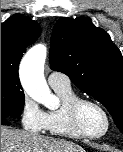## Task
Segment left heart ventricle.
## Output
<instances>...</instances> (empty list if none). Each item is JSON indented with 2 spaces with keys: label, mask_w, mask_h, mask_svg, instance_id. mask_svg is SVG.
<instances>
[{
  "label": "left heart ventricle",
  "mask_w": 123,
  "mask_h": 152,
  "mask_svg": "<svg viewBox=\"0 0 123 152\" xmlns=\"http://www.w3.org/2000/svg\"><path fill=\"white\" fill-rule=\"evenodd\" d=\"M79 122L83 130L89 134H99L106 126V120L102 112L90 104L81 107Z\"/></svg>",
  "instance_id": "left-heart-ventricle-1"
}]
</instances>
